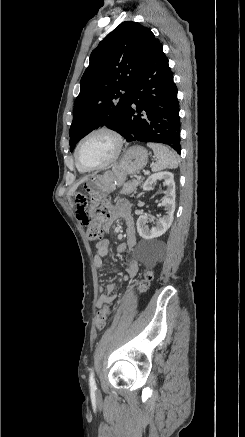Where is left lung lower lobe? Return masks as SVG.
Here are the masks:
<instances>
[{
  "mask_svg": "<svg viewBox=\"0 0 245 437\" xmlns=\"http://www.w3.org/2000/svg\"><path fill=\"white\" fill-rule=\"evenodd\" d=\"M123 137L127 142L163 143L181 152L177 87L161 43L154 48L130 91Z\"/></svg>",
  "mask_w": 245,
  "mask_h": 437,
  "instance_id": "left-lung-lower-lobe-1",
  "label": "left lung lower lobe"
}]
</instances>
